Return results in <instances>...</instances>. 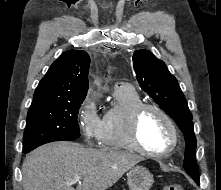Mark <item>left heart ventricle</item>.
I'll return each mask as SVG.
<instances>
[{
	"instance_id": "b2bd125f",
	"label": "left heart ventricle",
	"mask_w": 221,
	"mask_h": 190,
	"mask_svg": "<svg viewBox=\"0 0 221 190\" xmlns=\"http://www.w3.org/2000/svg\"><path fill=\"white\" fill-rule=\"evenodd\" d=\"M139 138L146 148L154 151H162L172 142L167 122L154 110H146L141 116Z\"/></svg>"
}]
</instances>
